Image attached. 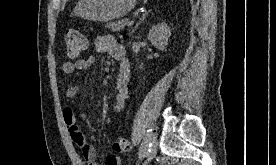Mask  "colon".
<instances>
[{
  "instance_id": "5ec220e1",
  "label": "colon",
  "mask_w": 276,
  "mask_h": 165,
  "mask_svg": "<svg viewBox=\"0 0 276 165\" xmlns=\"http://www.w3.org/2000/svg\"><path fill=\"white\" fill-rule=\"evenodd\" d=\"M66 52L69 57L76 58L84 53L87 49V41L82 33L70 28L65 32L64 36ZM113 150L117 153H124L129 148L128 140L124 137H117L112 144Z\"/></svg>"
}]
</instances>
